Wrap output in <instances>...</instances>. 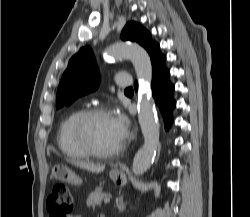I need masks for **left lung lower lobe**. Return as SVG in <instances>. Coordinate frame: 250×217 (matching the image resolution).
Returning a JSON list of instances; mask_svg holds the SVG:
<instances>
[{"instance_id":"0a47b994","label":"left lung lower lobe","mask_w":250,"mask_h":217,"mask_svg":"<svg viewBox=\"0 0 250 217\" xmlns=\"http://www.w3.org/2000/svg\"><path fill=\"white\" fill-rule=\"evenodd\" d=\"M150 57L153 69L152 95L163 115L165 127L169 128L173 122L172 111L176 107V101L173 98L174 85L169 80L170 71L165 66L166 58L160 52L158 44ZM137 88L136 82L135 89L137 90Z\"/></svg>"}]
</instances>
